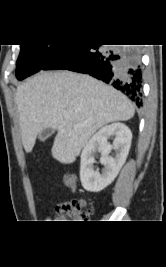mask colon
Instances as JSON below:
<instances>
[{
    "instance_id": "1",
    "label": "colon",
    "mask_w": 166,
    "mask_h": 267,
    "mask_svg": "<svg viewBox=\"0 0 166 267\" xmlns=\"http://www.w3.org/2000/svg\"><path fill=\"white\" fill-rule=\"evenodd\" d=\"M75 180L72 174L66 176V181ZM67 185V184H66ZM58 220L56 222L64 223L70 220L85 219L91 214L84 200H70L62 202L56 207Z\"/></svg>"
}]
</instances>
